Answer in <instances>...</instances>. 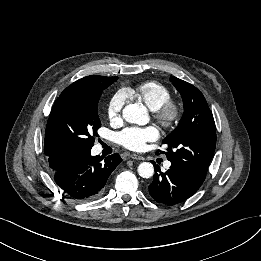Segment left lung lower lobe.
I'll list each match as a JSON object with an SVG mask.
<instances>
[{"label":"left lung lower lobe","mask_w":261,"mask_h":261,"mask_svg":"<svg viewBox=\"0 0 261 261\" xmlns=\"http://www.w3.org/2000/svg\"><path fill=\"white\" fill-rule=\"evenodd\" d=\"M154 180L149 185V194L158 203L172 206L191 197L200 188L202 179L193 176L180 165L171 163L166 172L155 164Z\"/></svg>","instance_id":"1"}]
</instances>
